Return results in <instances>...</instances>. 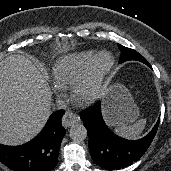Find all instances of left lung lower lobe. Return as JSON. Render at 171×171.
Masks as SVG:
<instances>
[{
	"instance_id": "left-lung-lower-lobe-1",
	"label": "left lung lower lobe",
	"mask_w": 171,
	"mask_h": 171,
	"mask_svg": "<svg viewBox=\"0 0 171 171\" xmlns=\"http://www.w3.org/2000/svg\"><path fill=\"white\" fill-rule=\"evenodd\" d=\"M80 117L87 129L89 151L93 161L107 170H119L137 161L154 139L160 120L144 138L126 140L116 136L106 126L101 115L100 102Z\"/></svg>"
}]
</instances>
